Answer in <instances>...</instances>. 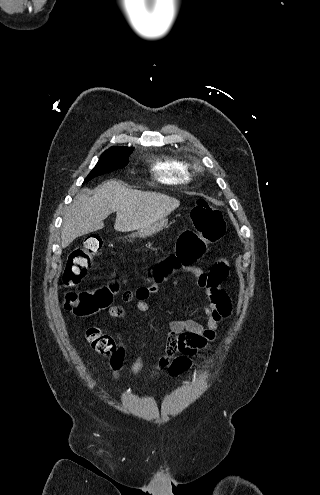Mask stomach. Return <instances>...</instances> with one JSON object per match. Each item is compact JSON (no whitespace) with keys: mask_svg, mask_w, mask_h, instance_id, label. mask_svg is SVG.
Returning <instances> with one entry per match:
<instances>
[{"mask_svg":"<svg viewBox=\"0 0 320 495\" xmlns=\"http://www.w3.org/2000/svg\"><path fill=\"white\" fill-rule=\"evenodd\" d=\"M168 224V219L165 217L152 223L151 225H148L144 228L138 229L136 232H133L131 235H129L130 238L134 237H141V238H146L149 237L153 234H156L163 230Z\"/></svg>","mask_w":320,"mask_h":495,"instance_id":"1","label":"stomach"}]
</instances>
